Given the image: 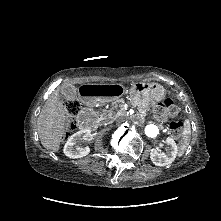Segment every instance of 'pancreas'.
<instances>
[{"mask_svg":"<svg viewBox=\"0 0 221 221\" xmlns=\"http://www.w3.org/2000/svg\"><path fill=\"white\" fill-rule=\"evenodd\" d=\"M123 103H124L123 99H118L117 101L114 102L112 109L108 111L96 113L98 120L105 123V122H109L111 119H115L119 116L125 115L126 111L122 107ZM118 108L119 110H117ZM139 112L142 113L143 115H148V112L146 109H139Z\"/></svg>","mask_w":221,"mask_h":221,"instance_id":"cf45deb5","label":"pancreas"}]
</instances>
